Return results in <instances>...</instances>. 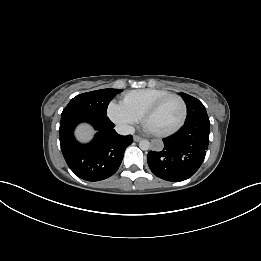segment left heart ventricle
Listing matches in <instances>:
<instances>
[{"label": "left heart ventricle", "instance_id": "left-heart-ventricle-1", "mask_svg": "<svg viewBox=\"0 0 261 261\" xmlns=\"http://www.w3.org/2000/svg\"><path fill=\"white\" fill-rule=\"evenodd\" d=\"M182 114L178 100L172 98L164 102L148 119L147 126L154 131H167L179 122Z\"/></svg>", "mask_w": 261, "mask_h": 261}]
</instances>
